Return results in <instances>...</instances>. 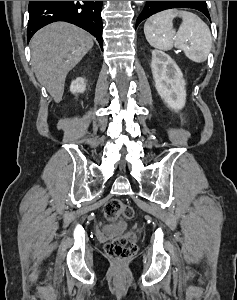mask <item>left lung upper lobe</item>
Wrapping results in <instances>:
<instances>
[{"mask_svg": "<svg viewBox=\"0 0 237 300\" xmlns=\"http://www.w3.org/2000/svg\"><path fill=\"white\" fill-rule=\"evenodd\" d=\"M172 8H192L201 11L210 20L206 1H147L143 11L136 21L137 25L151 15Z\"/></svg>", "mask_w": 237, "mask_h": 300, "instance_id": "left-lung-upper-lobe-1", "label": "left lung upper lobe"}]
</instances>
